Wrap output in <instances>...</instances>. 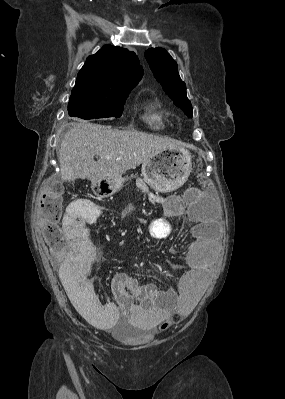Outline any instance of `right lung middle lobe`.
I'll return each instance as SVG.
<instances>
[{
	"mask_svg": "<svg viewBox=\"0 0 285 399\" xmlns=\"http://www.w3.org/2000/svg\"><path fill=\"white\" fill-rule=\"evenodd\" d=\"M129 92L103 96H71L68 103L70 116L82 119L116 117L123 112V105Z\"/></svg>",
	"mask_w": 285,
	"mask_h": 399,
	"instance_id": "1",
	"label": "right lung middle lobe"
}]
</instances>
